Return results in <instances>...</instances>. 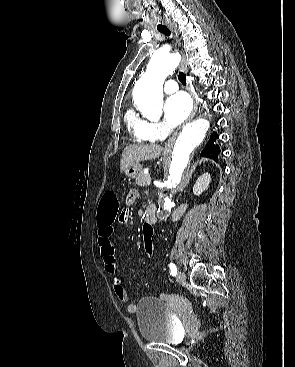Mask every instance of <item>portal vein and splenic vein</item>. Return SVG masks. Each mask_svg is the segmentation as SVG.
<instances>
[{
	"instance_id": "1",
	"label": "portal vein and splenic vein",
	"mask_w": 295,
	"mask_h": 367,
	"mask_svg": "<svg viewBox=\"0 0 295 367\" xmlns=\"http://www.w3.org/2000/svg\"><path fill=\"white\" fill-rule=\"evenodd\" d=\"M150 184H151V178H148L147 185H150Z\"/></svg>"
}]
</instances>
